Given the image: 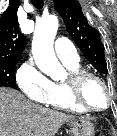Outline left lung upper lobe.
Here are the masks:
<instances>
[{
    "label": "left lung upper lobe",
    "mask_w": 117,
    "mask_h": 136,
    "mask_svg": "<svg viewBox=\"0 0 117 136\" xmlns=\"http://www.w3.org/2000/svg\"><path fill=\"white\" fill-rule=\"evenodd\" d=\"M55 9L65 22L70 36L86 59L100 74H107L104 46L99 32L88 24L81 6L76 0H54Z\"/></svg>",
    "instance_id": "obj_1"
}]
</instances>
